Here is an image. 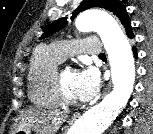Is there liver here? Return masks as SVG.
<instances>
[{
	"label": "liver",
	"instance_id": "liver-1",
	"mask_svg": "<svg viewBox=\"0 0 153 134\" xmlns=\"http://www.w3.org/2000/svg\"><path fill=\"white\" fill-rule=\"evenodd\" d=\"M67 118L60 110L27 109L21 112L18 128H28L41 134H53Z\"/></svg>",
	"mask_w": 153,
	"mask_h": 134
}]
</instances>
